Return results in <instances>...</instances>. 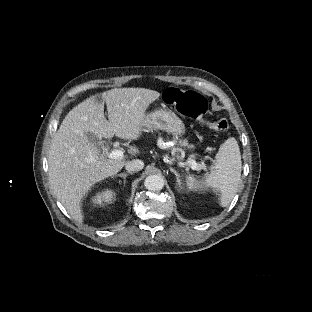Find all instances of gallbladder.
<instances>
[{
  "mask_svg": "<svg viewBox=\"0 0 312 312\" xmlns=\"http://www.w3.org/2000/svg\"><path fill=\"white\" fill-rule=\"evenodd\" d=\"M89 139L99 150L103 148L102 142L98 138H96L93 134L89 135Z\"/></svg>",
  "mask_w": 312,
  "mask_h": 312,
  "instance_id": "obj_1",
  "label": "gallbladder"
}]
</instances>
